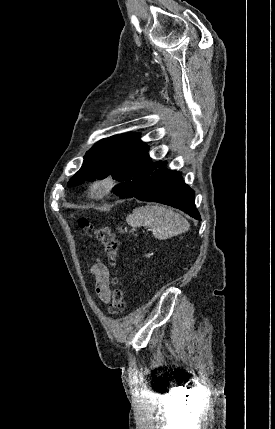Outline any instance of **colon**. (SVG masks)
Wrapping results in <instances>:
<instances>
[{"label":"colon","mask_w":275,"mask_h":429,"mask_svg":"<svg viewBox=\"0 0 275 429\" xmlns=\"http://www.w3.org/2000/svg\"><path fill=\"white\" fill-rule=\"evenodd\" d=\"M78 225L83 230L93 231L96 238L101 242L104 252L108 258L109 264L114 265L117 258L119 241L109 226L93 227L84 217L78 219ZM117 284V282H114ZM109 313L112 315H121L126 309L123 291L115 287L112 293V300L109 304Z\"/></svg>","instance_id":"colon-1"}]
</instances>
